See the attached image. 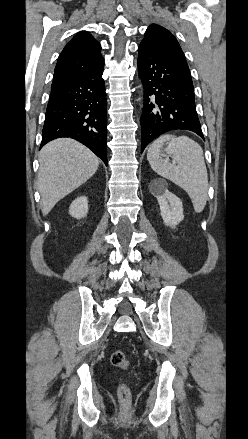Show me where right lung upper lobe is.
<instances>
[{
	"label": "right lung upper lobe",
	"mask_w": 248,
	"mask_h": 439,
	"mask_svg": "<svg viewBox=\"0 0 248 439\" xmlns=\"http://www.w3.org/2000/svg\"><path fill=\"white\" fill-rule=\"evenodd\" d=\"M101 45L87 31L78 32L61 52L54 71L51 87H55L104 62Z\"/></svg>",
	"instance_id": "obj_1"
}]
</instances>
